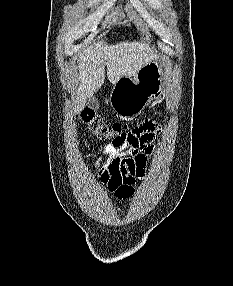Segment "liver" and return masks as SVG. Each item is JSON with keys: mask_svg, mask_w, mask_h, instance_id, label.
I'll use <instances>...</instances> for the list:
<instances>
[{"mask_svg": "<svg viewBox=\"0 0 233 286\" xmlns=\"http://www.w3.org/2000/svg\"><path fill=\"white\" fill-rule=\"evenodd\" d=\"M158 58L154 50L143 41H123L116 45L98 41L87 46L78 59L75 112L80 113L85 107L86 99L101 88L105 79V68L109 81L116 84L122 77L136 76L143 66Z\"/></svg>", "mask_w": 233, "mask_h": 286, "instance_id": "6515ba94", "label": "liver"}]
</instances>
